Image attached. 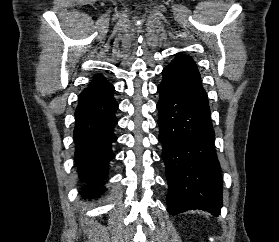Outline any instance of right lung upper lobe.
Instances as JSON below:
<instances>
[{
	"label": "right lung upper lobe",
	"instance_id": "obj_1",
	"mask_svg": "<svg viewBox=\"0 0 279 242\" xmlns=\"http://www.w3.org/2000/svg\"><path fill=\"white\" fill-rule=\"evenodd\" d=\"M110 83L105 81L101 75H97L93 78V80L90 82L89 86L81 92L80 96L88 95L91 93H94L96 91H99L107 86H109Z\"/></svg>",
	"mask_w": 279,
	"mask_h": 242
}]
</instances>
